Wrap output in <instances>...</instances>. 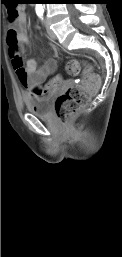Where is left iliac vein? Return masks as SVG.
I'll return each instance as SVG.
<instances>
[{"instance_id": "obj_1", "label": "left iliac vein", "mask_w": 122, "mask_h": 257, "mask_svg": "<svg viewBox=\"0 0 122 257\" xmlns=\"http://www.w3.org/2000/svg\"><path fill=\"white\" fill-rule=\"evenodd\" d=\"M45 24H46V28H47L48 37L51 40H55L56 39V35H55L54 31L50 28L48 20H45Z\"/></svg>"}]
</instances>
